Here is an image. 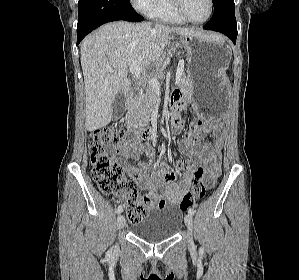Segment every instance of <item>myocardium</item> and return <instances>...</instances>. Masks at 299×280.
Listing matches in <instances>:
<instances>
[{"label": "myocardium", "mask_w": 299, "mask_h": 280, "mask_svg": "<svg viewBox=\"0 0 299 280\" xmlns=\"http://www.w3.org/2000/svg\"><path fill=\"white\" fill-rule=\"evenodd\" d=\"M171 1V5L173 10L175 11V13L181 18L183 19L185 22L191 23V24H195V25H200V24H204L205 22H207L212 14H213V9H214V5H213V0H208V4H209V11L207 16L202 19V20H193L191 19L185 12L184 7H183V0H170Z\"/></svg>", "instance_id": "1"}]
</instances>
